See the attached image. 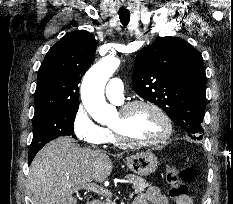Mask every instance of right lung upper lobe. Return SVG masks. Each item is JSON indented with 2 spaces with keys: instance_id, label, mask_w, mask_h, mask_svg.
I'll return each instance as SVG.
<instances>
[{
  "instance_id": "right-lung-upper-lobe-1",
  "label": "right lung upper lobe",
  "mask_w": 233,
  "mask_h": 204,
  "mask_svg": "<svg viewBox=\"0 0 233 204\" xmlns=\"http://www.w3.org/2000/svg\"><path fill=\"white\" fill-rule=\"evenodd\" d=\"M96 41L87 31H73L56 42L38 71L35 112L79 106V87L93 61Z\"/></svg>"
}]
</instances>
